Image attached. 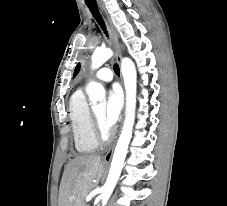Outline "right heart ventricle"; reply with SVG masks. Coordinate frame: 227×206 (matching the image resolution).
I'll use <instances>...</instances> for the list:
<instances>
[{
  "mask_svg": "<svg viewBox=\"0 0 227 206\" xmlns=\"http://www.w3.org/2000/svg\"><path fill=\"white\" fill-rule=\"evenodd\" d=\"M68 114L76 150L82 154L95 151L98 141L93 131L91 110L81 89L72 94Z\"/></svg>",
  "mask_w": 227,
  "mask_h": 206,
  "instance_id": "right-heart-ventricle-1",
  "label": "right heart ventricle"
}]
</instances>
